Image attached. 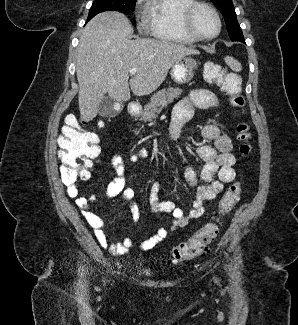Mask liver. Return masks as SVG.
Listing matches in <instances>:
<instances>
[{
    "label": "liver",
    "mask_w": 298,
    "mask_h": 325,
    "mask_svg": "<svg viewBox=\"0 0 298 325\" xmlns=\"http://www.w3.org/2000/svg\"><path fill=\"white\" fill-rule=\"evenodd\" d=\"M133 28L125 14L106 10L87 22L77 48L80 118L89 122L106 92L116 102L150 94L164 82L171 66L185 54L200 50L157 38L129 40ZM130 68L137 72L129 78Z\"/></svg>",
    "instance_id": "liver-1"
}]
</instances>
